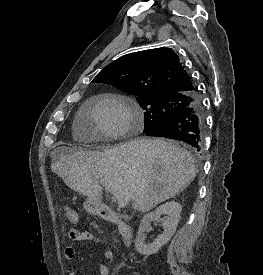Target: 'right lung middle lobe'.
Wrapping results in <instances>:
<instances>
[{
	"mask_svg": "<svg viewBox=\"0 0 263 275\" xmlns=\"http://www.w3.org/2000/svg\"><path fill=\"white\" fill-rule=\"evenodd\" d=\"M136 99L144 110V132L157 127L194 102L193 97L184 94L137 96Z\"/></svg>",
	"mask_w": 263,
	"mask_h": 275,
	"instance_id": "dd1d6c3e",
	"label": "right lung middle lobe"
}]
</instances>
